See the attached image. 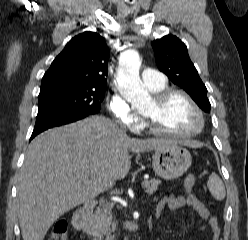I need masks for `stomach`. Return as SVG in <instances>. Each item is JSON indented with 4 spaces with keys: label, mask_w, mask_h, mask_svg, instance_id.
Returning a JSON list of instances; mask_svg holds the SVG:
<instances>
[{
    "label": "stomach",
    "mask_w": 248,
    "mask_h": 240,
    "mask_svg": "<svg viewBox=\"0 0 248 240\" xmlns=\"http://www.w3.org/2000/svg\"><path fill=\"white\" fill-rule=\"evenodd\" d=\"M191 162L189 151L176 144L157 149L152 156L154 171L167 180L182 176L191 166Z\"/></svg>",
    "instance_id": "stomach-1"
}]
</instances>
